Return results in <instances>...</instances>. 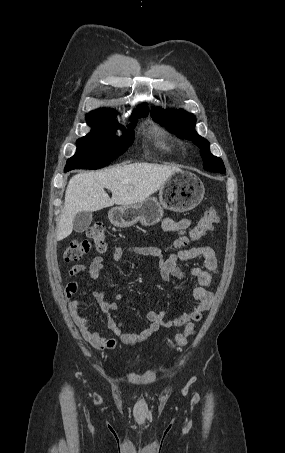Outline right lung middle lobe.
<instances>
[{"instance_id":"1","label":"right lung middle lobe","mask_w":285,"mask_h":453,"mask_svg":"<svg viewBox=\"0 0 285 453\" xmlns=\"http://www.w3.org/2000/svg\"><path fill=\"white\" fill-rule=\"evenodd\" d=\"M148 112L132 114V124L124 131L121 137H112L115 129L121 128L116 123L115 114L91 112L86 115L87 123L93 130L86 136L77 140V152L68 159L65 168L72 170L99 169L108 165L111 161L121 155L132 143L134 131L132 130L137 119L146 117Z\"/></svg>"}]
</instances>
